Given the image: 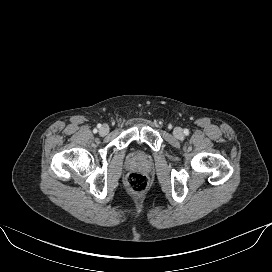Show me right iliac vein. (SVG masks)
<instances>
[{"label": "right iliac vein", "instance_id": "obj_1", "mask_svg": "<svg viewBox=\"0 0 272 272\" xmlns=\"http://www.w3.org/2000/svg\"><path fill=\"white\" fill-rule=\"evenodd\" d=\"M109 132V126L107 124H104L101 126V128L99 129V133L100 135L104 136Z\"/></svg>", "mask_w": 272, "mask_h": 272}]
</instances>
